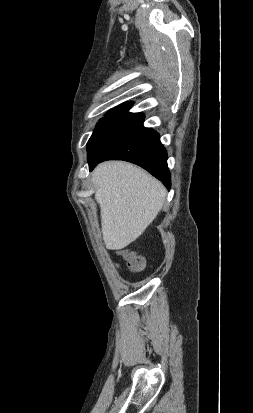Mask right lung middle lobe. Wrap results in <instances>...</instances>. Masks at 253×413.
Wrapping results in <instances>:
<instances>
[{
  "label": "right lung middle lobe",
  "instance_id": "dd1d6c3e",
  "mask_svg": "<svg viewBox=\"0 0 253 413\" xmlns=\"http://www.w3.org/2000/svg\"><path fill=\"white\" fill-rule=\"evenodd\" d=\"M144 117L106 115L87 143L88 161H96L143 127Z\"/></svg>",
  "mask_w": 253,
  "mask_h": 413
}]
</instances>
